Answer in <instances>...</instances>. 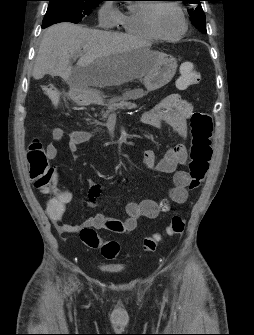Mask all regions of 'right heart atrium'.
Instances as JSON below:
<instances>
[{
  "label": "right heart atrium",
  "mask_w": 254,
  "mask_h": 335,
  "mask_svg": "<svg viewBox=\"0 0 254 335\" xmlns=\"http://www.w3.org/2000/svg\"><path fill=\"white\" fill-rule=\"evenodd\" d=\"M120 13L121 12L111 1L104 2L98 11L101 26L111 27L118 24Z\"/></svg>",
  "instance_id": "obj_1"
}]
</instances>
